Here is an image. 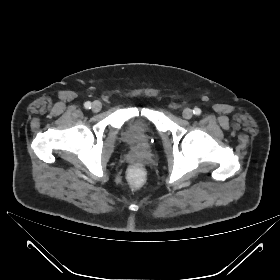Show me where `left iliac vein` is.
<instances>
[{"label":"left iliac vein","mask_w":280,"mask_h":280,"mask_svg":"<svg viewBox=\"0 0 280 280\" xmlns=\"http://www.w3.org/2000/svg\"><path fill=\"white\" fill-rule=\"evenodd\" d=\"M182 115H183V118H185V119H191L193 116V111L189 108H185L183 110Z\"/></svg>","instance_id":"left-iliac-vein-1"}]
</instances>
